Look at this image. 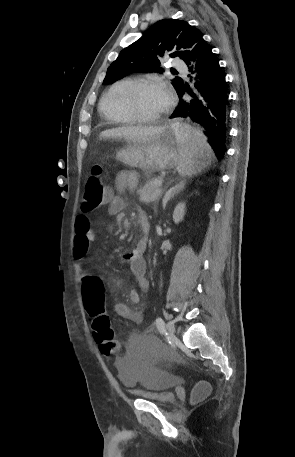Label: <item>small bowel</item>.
Listing matches in <instances>:
<instances>
[{"mask_svg":"<svg viewBox=\"0 0 295 457\" xmlns=\"http://www.w3.org/2000/svg\"><path fill=\"white\" fill-rule=\"evenodd\" d=\"M138 184L137 177L134 173L123 171L121 172L115 181L116 189L119 192L133 191ZM108 211L112 215H120L125 207L124 199L117 194H111L109 198ZM139 223L143 220L148 225V218L143 211H139ZM94 240V232L91 226V221L88 216L79 214L75 220V240L73 248V256L75 262L73 264L74 273L79 282L84 283L96 276L88 275L84 272L82 260L85 258L89 251V247ZM147 245V237L144 236L136 245L134 250L124 254L122 259L129 265L130 271L134 275L137 281V288L133 289L130 293V300L136 304L139 302L140 291L148 292L149 282L145 277L146 274V263L143 258ZM114 311L117 315L127 318L133 322H139L141 317L140 314L134 311L128 304L117 302L114 305ZM151 328H148L146 333L141 337L142 339L132 338L127 345H139L140 342H154V340L148 335ZM117 346H120L116 343Z\"/></svg>","mask_w":295,"mask_h":457,"instance_id":"c3829d8e","label":"small bowel"}]
</instances>
